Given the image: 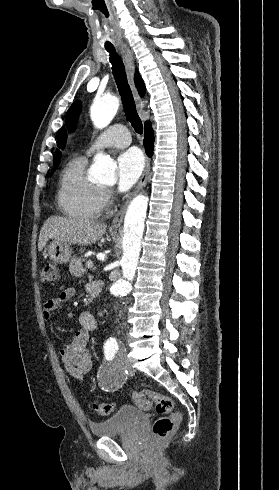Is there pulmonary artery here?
<instances>
[{"mask_svg": "<svg viewBox=\"0 0 279 490\" xmlns=\"http://www.w3.org/2000/svg\"><path fill=\"white\" fill-rule=\"evenodd\" d=\"M130 144L126 127L122 125H114L97 135L86 151L87 155H91L97 150L106 147L125 148Z\"/></svg>", "mask_w": 279, "mask_h": 490, "instance_id": "e3ab8cb5", "label": "pulmonary artery"}]
</instances>
